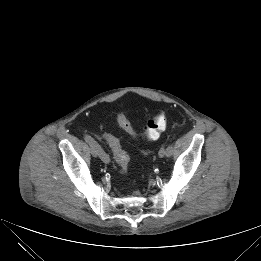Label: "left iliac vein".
Wrapping results in <instances>:
<instances>
[{"label":"left iliac vein","instance_id":"1","mask_svg":"<svg viewBox=\"0 0 261 261\" xmlns=\"http://www.w3.org/2000/svg\"><path fill=\"white\" fill-rule=\"evenodd\" d=\"M166 155V148L165 147H162L159 152H158V156L160 158H163L164 156Z\"/></svg>","mask_w":261,"mask_h":261}]
</instances>
